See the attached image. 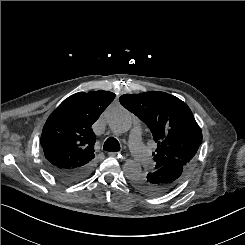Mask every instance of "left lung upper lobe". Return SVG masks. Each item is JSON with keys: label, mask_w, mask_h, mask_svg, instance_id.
<instances>
[{"label": "left lung upper lobe", "mask_w": 245, "mask_h": 245, "mask_svg": "<svg viewBox=\"0 0 245 245\" xmlns=\"http://www.w3.org/2000/svg\"><path fill=\"white\" fill-rule=\"evenodd\" d=\"M119 101L149 127L158 143L154 170L172 164L191 166L202 143V131L182 100L157 91L124 94Z\"/></svg>", "instance_id": "left-lung-upper-lobe-1"}]
</instances>
